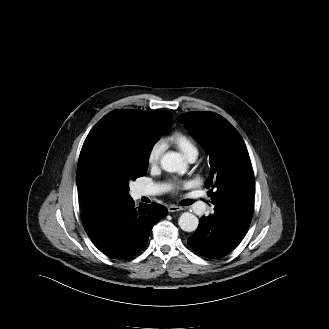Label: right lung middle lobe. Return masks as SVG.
<instances>
[{
    "instance_id": "right-lung-middle-lobe-1",
    "label": "right lung middle lobe",
    "mask_w": 329,
    "mask_h": 329,
    "mask_svg": "<svg viewBox=\"0 0 329 329\" xmlns=\"http://www.w3.org/2000/svg\"><path fill=\"white\" fill-rule=\"evenodd\" d=\"M169 121H159L144 133L109 123L108 140L78 162L76 179L82 208L129 198V181L146 174L150 151Z\"/></svg>"
}]
</instances>
